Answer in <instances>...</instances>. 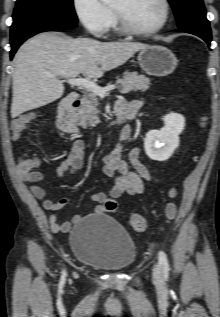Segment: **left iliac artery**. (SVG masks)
I'll return each mask as SVG.
<instances>
[{"label":"left iliac artery","instance_id":"left-iliac-artery-1","mask_svg":"<svg viewBox=\"0 0 220 317\" xmlns=\"http://www.w3.org/2000/svg\"><path fill=\"white\" fill-rule=\"evenodd\" d=\"M159 263L163 266L164 276L167 277L168 271H169V264H168L167 255L164 251L159 252Z\"/></svg>","mask_w":220,"mask_h":317}]
</instances>
